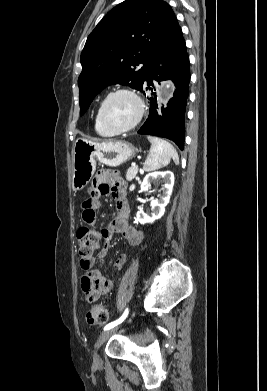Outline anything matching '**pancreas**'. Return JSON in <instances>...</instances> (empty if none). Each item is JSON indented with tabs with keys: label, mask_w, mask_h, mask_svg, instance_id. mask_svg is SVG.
Wrapping results in <instances>:
<instances>
[{
	"label": "pancreas",
	"mask_w": 267,
	"mask_h": 391,
	"mask_svg": "<svg viewBox=\"0 0 267 391\" xmlns=\"http://www.w3.org/2000/svg\"><path fill=\"white\" fill-rule=\"evenodd\" d=\"M138 174V166H132L127 170L126 179L132 181Z\"/></svg>",
	"instance_id": "cf45deb5"
}]
</instances>
